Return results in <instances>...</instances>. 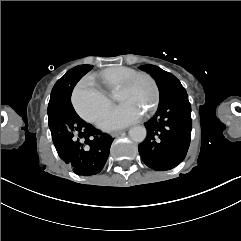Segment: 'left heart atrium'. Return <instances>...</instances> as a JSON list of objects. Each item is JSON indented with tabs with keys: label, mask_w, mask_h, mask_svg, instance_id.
Returning a JSON list of instances; mask_svg holds the SVG:
<instances>
[{
	"label": "left heart atrium",
	"mask_w": 241,
	"mask_h": 241,
	"mask_svg": "<svg viewBox=\"0 0 241 241\" xmlns=\"http://www.w3.org/2000/svg\"><path fill=\"white\" fill-rule=\"evenodd\" d=\"M140 114L132 109L113 108L109 110L98 122L104 130H115L126 127L139 120Z\"/></svg>",
	"instance_id": "obj_1"
}]
</instances>
